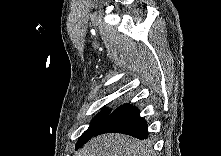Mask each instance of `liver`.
Returning a JSON list of instances; mask_svg holds the SVG:
<instances>
[{
  "label": "liver",
  "mask_w": 221,
  "mask_h": 156,
  "mask_svg": "<svg viewBox=\"0 0 221 156\" xmlns=\"http://www.w3.org/2000/svg\"><path fill=\"white\" fill-rule=\"evenodd\" d=\"M149 145L124 134L109 133L90 140L77 156H150Z\"/></svg>",
  "instance_id": "6515ba94"
}]
</instances>
